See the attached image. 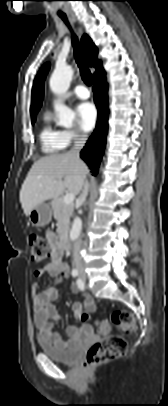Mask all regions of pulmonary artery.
<instances>
[{
  "mask_svg": "<svg viewBox=\"0 0 168 406\" xmlns=\"http://www.w3.org/2000/svg\"><path fill=\"white\" fill-rule=\"evenodd\" d=\"M77 97L79 99H87L90 97V92L85 86L78 85L65 95V98Z\"/></svg>",
  "mask_w": 168,
  "mask_h": 406,
  "instance_id": "pulmonary-artery-1",
  "label": "pulmonary artery"
}]
</instances>
